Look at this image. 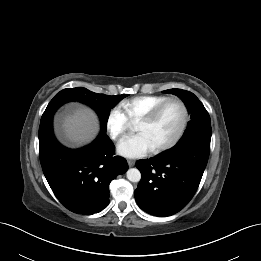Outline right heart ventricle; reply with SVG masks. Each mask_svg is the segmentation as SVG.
I'll use <instances>...</instances> for the list:
<instances>
[{
  "label": "right heart ventricle",
  "instance_id": "obj_1",
  "mask_svg": "<svg viewBox=\"0 0 261 261\" xmlns=\"http://www.w3.org/2000/svg\"><path fill=\"white\" fill-rule=\"evenodd\" d=\"M165 95H143L137 96L121 103V108L131 123L137 122L153 108L167 100Z\"/></svg>",
  "mask_w": 261,
  "mask_h": 261
}]
</instances>
